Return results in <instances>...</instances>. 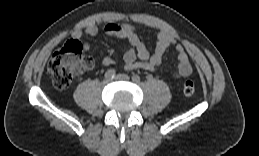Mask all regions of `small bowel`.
Here are the masks:
<instances>
[{
  "mask_svg": "<svg viewBox=\"0 0 259 156\" xmlns=\"http://www.w3.org/2000/svg\"><path fill=\"white\" fill-rule=\"evenodd\" d=\"M103 31L106 35L124 39L129 44L130 48L123 56L125 68L127 70L143 69L147 71H157L161 66L165 51L171 45H175L178 66L174 73V77L185 78L192 73L189 56L183 45L176 43L175 38L166 31H160L158 33L156 46L152 53L148 51L145 44L138 37L135 25L128 23H109L104 26ZM98 33V27L90 25L84 30H74L71 33V37L73 40H78L83 35L94 37L98 35ZM83 49L88 51L90 49V44L84 43ZM113 63L114 60L110 56H106L102 60L104 66H109Z\"/></svg>",
  "mask_w": 259,
  "mask_h": 156,
  "instance_id": "obj_1",
  "label": "small bowel"
}]
</instances>
